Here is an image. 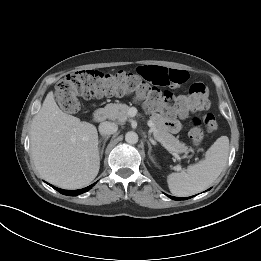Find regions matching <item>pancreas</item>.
<instances>
[{
  "label": "pancreas",
  "instance_id": "1",
  "mask_svg": "<svg viewBox=\"0 0 261 261\" xmlns=\"http://www.w3.org/2000/svg\"><path fill=\"white\" fill-rule=\"evenodd\" d=\"M105 110L107 111L108 118L117 121L118 123H124L129 117L130 107L122 103H110L106 105ZM151 120L154 122L155 132L154 137L156 140H161L166 144L174 147L178 152H187L188 147L184 143H181L177 138L172 134L164 130L161 125L157 122V117L152 116ZM192 150V149H189Z\"/></svg>",
  "mask_w": 261,
  "mask_h": 261
}]
</instances>
